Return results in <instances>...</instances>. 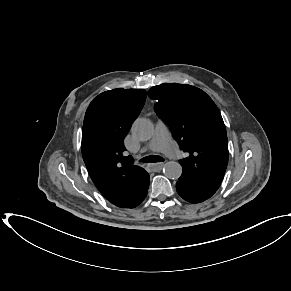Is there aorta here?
Segmentation results:
<instances>
[{
  "label": "aorta",
  "mask_w": 291,
  "mask_h": 291,
  "mask_svg": "<svg viewBox=\"0 0 291 291\" xmlns=\"http://www.w3.org/2000/svg\"><path fill=\"white\" fill-rule=\"evenodd\" d=\"M132 134L140 141H147L154 134V126L150 120L138 118L133 123ZM164 174L169 179H178L182 174V166L178 162L169 161L164 166Z\"/></svg>",
  "instance_id": "aorta-1"
}]
</instances>
